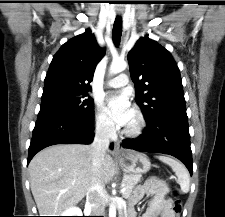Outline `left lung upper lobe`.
Listing matches in <instances>:
<instances>
[{
	"label": "left lung upper lobe",
	"instance_id": "1",
	"mask_svg": "<svg viewBox=\"0 0 225 217\" xmlns=\"http://www.w3.org/2000/svg\"><path fill=\"white\" fill-rule=\"evenodd\" d=\"M128 62L145 120L186 113L180 71L168 50L146 36L129 51Z\"/></svg>",
	"mask_w": 225,
	"mask_h": 217
}]
</instances>
